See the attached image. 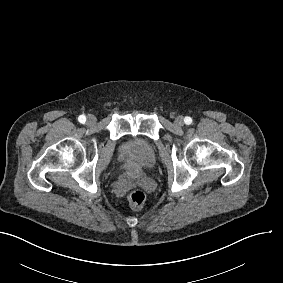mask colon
<instances>
[{
    "label": "colon",
    "instance_id": "obj_1",
    "mask_svg": "<svg viewBox=\"0 0 283 283\" xmlns=\"http://www.w3.org/2000/svg\"><path fill=\"white\" fill-rule=\"evenodd\" d=\"M147 200V195L142 189H134L128 195V202L134 208H141Z\"/></svg>",
    "mask_w": 283,
    "mask_h": 283
}]
</instances>
